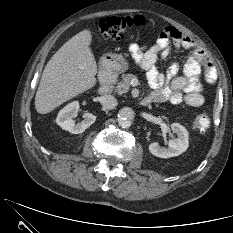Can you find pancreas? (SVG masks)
Here are the masks:
<instances>
[{"mask_svg": "<svg viewBox=\"0 0 233 233\" xmlns=\"http://www.w3.org/2000/svg\"><path fill=\"white\" fill-rule=\"evenodd\" d=\"M135 77L136 76L133 74L122 75L121 80L118 83H116V86L114 87V91L119 94L128 92L130 88V80Z\"/></svg>", "mask_w": 233, "mask_h": 233, "instance_id": "1", "label": "pancreas"}]
</instances>
